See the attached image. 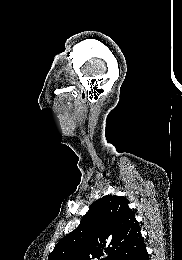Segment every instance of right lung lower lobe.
<instances>
[{
    "instance_id": "1",
    "label": "right lung lower lobe",
    "mask_w": 182,
    "mask_h": 260,
    "mask_svg": "<svg viewBox=\"0 0 182 260\" xmlns=\"http://www.w3.org/2000/svg\"><path fill=\"white\" fill-rule=\"evenodd\" d=\"M118 260H149L144 240L123 254Z\"/></svg>"
}]
</instances>
